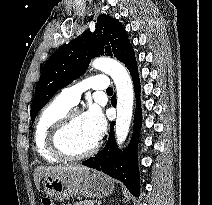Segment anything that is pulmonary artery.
Here are the masks:
<instances>
[{
	"label": "pulmonary artery",
	"mask_w": 212,
	"mask_h": 205,
	"mask_svg": "<svg viewBox=\"0 0 212 205\" xmlns=\"http://www.w3.org/2000/svg\"><path fill=\"white\" fill-rule=\"evenodd\" d=\"M109 88L108 77L104 74L93 75L75 85L64 88L57 98L65 103L66 105L72 107L76 105L80 99L83 92L88 89L93 90H107Z\"/></svg>",
	"instance_id": "pulmonary-artery-1"
}]
</instances>
